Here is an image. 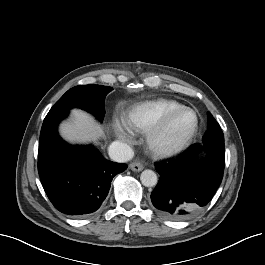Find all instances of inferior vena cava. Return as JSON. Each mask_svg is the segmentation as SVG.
Listing matches in <instances>:
<instances>
[{
	"label": "inferior vena cava",
	"instance_id": "602c4592",
	"mask_svg": "<svg viewBox=\"0 0 265 265\" xmlns=\"http://www.w3.org/2000/svg\"><path fill=\"white\" fill-rule=\"evenodd\" d=\"M108 154L113 161L119 163L128 162L134 156L131 147L121 141L112 142L108 147Z\"/></svg>",
	"mask_w": 265,
	"mask_h": 265
}]
</instances>
